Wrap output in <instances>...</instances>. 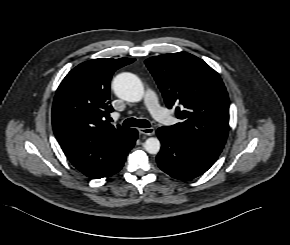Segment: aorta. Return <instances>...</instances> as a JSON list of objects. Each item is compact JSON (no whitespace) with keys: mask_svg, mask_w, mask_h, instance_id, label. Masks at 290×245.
<instances>
[{"mask_svg":"<svg viewBox=\"0 0 290 245\" xmlns=\"http://www.w3.org/2000/svg\"><path fill=\"white\" fill-rule=\"evenodd\" d=\"M112 88L119 98L128 102H139L144 96L141 80L132 73L117 75L113 80ZM160 147V141L156 137H150L144 143L145 150L150 154H157Z\"/></svg>","mask_w":290,"mask_h":245,"instance_id":"aorta-1","label":"aorta"}]
</instances>
